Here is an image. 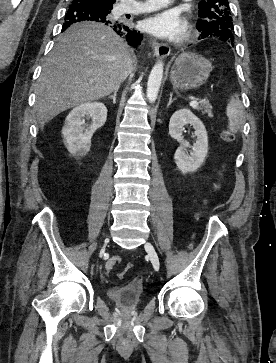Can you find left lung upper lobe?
Instances as JSON below:
<instances>
[{"mask_svg":"<svg viewBox=\"0 0 276 363\" xmlns=\"http://www.w3.org/2000/svg\"><path fill=\"white\" fill-rule=\"evenodd\" d=\"M197 29L202 38L219 37L233 41V22L228 0H203L199 2Z\"/></svg>","mask_w":276,"mask_h":363,"instance_id":"obj_1","label":"left lung upper lobe"}]
</instances>
